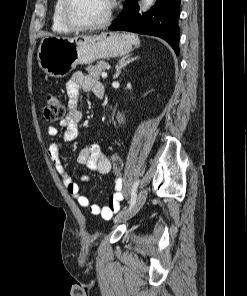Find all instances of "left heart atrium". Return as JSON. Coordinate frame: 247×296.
<instances>
[{"label": "left heart atrium", "instance_id": "obj_1", "mask_svg": "<svg viewBox=\"0 0 247 296\" xmlns=\"http://www.w3.org/2000/svg\"><path fill=\"white\" fill-rule=\"evenodd\" d=\"M109 1V4H110V6L112 5V3H113V0H108Z\"/></svg>", "mask_w": 247, "mask_h": 296}]
</instances>
